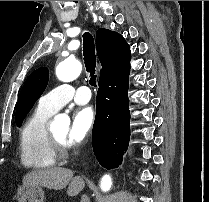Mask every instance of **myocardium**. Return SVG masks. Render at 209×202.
I'll return each mask as SVG.
<instances>
[{"label":"myocardium","instance_id":"obj_1","mask_svg":"<svg viewBox=\"0 0 209 202\" xmlns=\"http://www.w3.org/2000/svg\"><path fill=\"white\" fill-rule=\"evenodd\" d=\"M49 138L50 142L56 151L57 155L60 157H66L67 156V150H68V145L66 141H63L56 136L53 135V133L49 132Z\"/></svg>","mask_w":209,"mask_h":202}]
</instances>
